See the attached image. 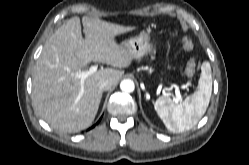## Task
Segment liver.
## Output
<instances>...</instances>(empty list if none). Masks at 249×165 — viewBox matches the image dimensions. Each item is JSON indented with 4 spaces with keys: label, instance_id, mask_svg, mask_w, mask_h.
<instances>
[{
    "label": "liver",
    "instance_id": "obj_1",
    "mask_svg": "<svg viewBox=\"0 0 249 165\" xmlns=\"http://www.w3.org/2000/svg\"><path fill=\"white\" fill-rule=\"evenodd\" d=\"M79 17L60 26L47 40L39 56L32 78L33 105L38 115L52 128L78 132L94 121L103 90L99 83L109 80L116 86L135 58L118 44L115 36L132 31L98 18ZM111 65L88 76L82 83L75 74L90 62Z\"/></svg>",
    "mask_w": 249,
    "mask_h": 165
}]
</instances>
